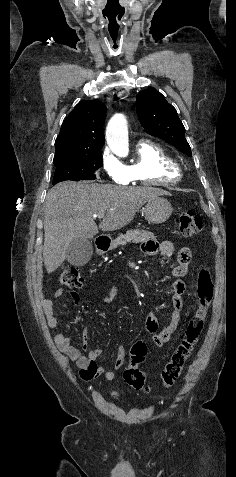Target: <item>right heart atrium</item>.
<instances>
[{
	"instance_id": "obj_1",
	"label": "right heart atrium",
	"mask_w": 236,
	"mask_h": 477,
	"mask_svg": "<svg viewBox=\"0 0 236 477\" xmlns=\"http://www.w3.org/2000/svg\"><path fill=\"white\" fill-rule=\"evenodd\" d=\"M102 168L115 183L126 185L131 179L127 166L118 160L109 149H105L102 154Z\"/></svg>"
}]
</instances>
